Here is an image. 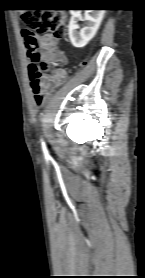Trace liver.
<instances>
[{
  "label": "liver",
  "mask_w": 145,
  "mask_h": 278,
  "mask_svg": "<svg viewBox=\"0 0 145 278\" xmlns=\"http://www.w3.org/2000/svg\"><path fill=\"white\" fill-rule=\"evenodd\" d=\"M21 12H25V10H21Z\"/></svg>",
  "instance_id": "obj_1"
}]
</instances>
